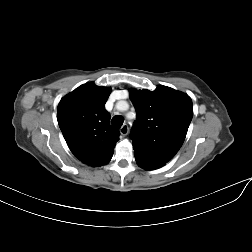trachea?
<instances>
[{
  "mask_svg": "<svg viewBox=\"0 0 252 252\" xmlns=\"http://www.w3.org/2000/svg\"><path fill=\"white\" fill-rule=\"evenodd\" d=\"M124 122V119L121 115H116L112 118L111 124L120 128Z\"/></svg>",
  "mask_w": 252,
  "mask_h": 252,
  "instance_id": "1",
  "label": "trachea"
}]
</instances>
